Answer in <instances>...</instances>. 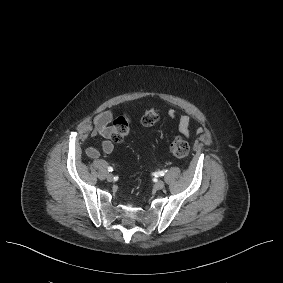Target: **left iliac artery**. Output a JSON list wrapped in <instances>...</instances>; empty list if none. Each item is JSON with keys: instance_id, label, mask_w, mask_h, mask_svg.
I'll list each match as a JSON object with an SVG mask.
<instances>
[{"instance_id": "1", "label": "left iliac artery", "mask_w": 283, "mask_h": 283, "mask_svg": "<svg viewBox=\"0 0 283 283\" xmlns=\"http://www.w3.org/2000/svg\"><path fill=\"white\" fill-rule=\"evenodd\" d=\"M167 172H168V170L166 169V170L155 172L154 175L156 177H160V176H164Z\"/></svg>"}]
</instances>
